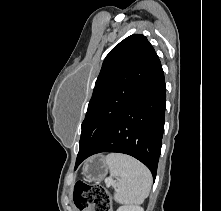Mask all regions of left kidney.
<instances>
[{"label": "left kidney", "instance_id": "5707ae66", "mask_svg": "<svg viewBox=\"0 0 221 211\" xmlns=\"http://www.w3.org/2000/svg\"><path fill=\"white\" fill-rule=\"evenodd\" d=\"M117 211H144L140 206H121Z\"/></svg>", "mask_w": 221, "mask_h": 211}]
</instances>
